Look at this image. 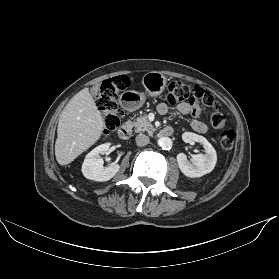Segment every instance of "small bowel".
Here are the masks:
<instances>
[{
    "instance_id": "1",
    "label": "small bowel",
    "mask_w": 279,
    "mask_h": 279,
    "mask_svg": "<svg viewBox=\"0 0 279 279\" xmlns=\"http://www.w3.org/2000/svg\"><path fill=\"white\" fill-rule=\"evenodd\" d=\"M168 110V106L165 103H161L157 107V111L160 115H165ZM175 111L178 114L187 115L193 113V108L188 103L182 102L176 106ZM190 125L191 128L198 133H205L207 131V126L197 119L192 120Z\"/></svg>"
}]
</instances>
